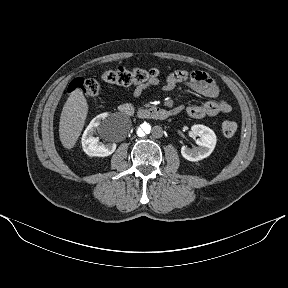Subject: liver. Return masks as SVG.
Masks as SVG:
<instances>
[{
  "instance_id": "6515ba94",
  "label": "liver",
  "mask_w": 288,
  "mask_h": 288,
  "mask_svg": "<svg viewBox=\"0 0 288 288\" xmlns=\"http://www.w3.org/2000/svg\"><path fill=\"white\" fill-rule=\"evenodd\" d=\"M88 113L87 100L80 89H75L68 97L61 113L59 136L64 148L71 149L76 144Z\"/></svg>"
}]
</instances>
